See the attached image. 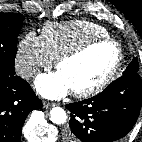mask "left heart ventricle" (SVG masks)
<instances>
[{"mask_svg": "<svg viewBox=\"0 0 142 142\" xmlns=\"http://www.w3.org/2000/svg\"><path fill=\"white\" fill-rule=\"evenodd\" d=\"M116 56V49L111 44L97 45L80 57L62 63L58 71L66 78L71 90L85 89L109 72Z\"/></svg>", "mask_w": 142, "mask_h": 142, "instance_id": "left-heart-ventricle-1", "label": "left heart ventricle"}]
</instances>
